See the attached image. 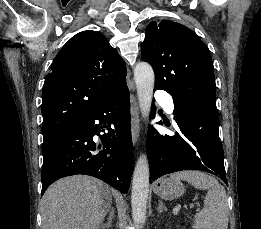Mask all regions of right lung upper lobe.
Listing matches in <instances>:
<instances>
[{"label":"right lung upper lobe","mask_w":261,"mask_h":229,"mask_svg":"<svg viewBox=\"0 0 261 229\" xmlns=\"http://www.w3.org/2000/svg\"><path fill=\"white\" fill-rule=\"evenodd\" d=\"M42 92V130L64 131L127 87L124 60L104 35L87 30L73 36L52 63Z\"/></svg>","instance_id":"1"}]
</instances>
